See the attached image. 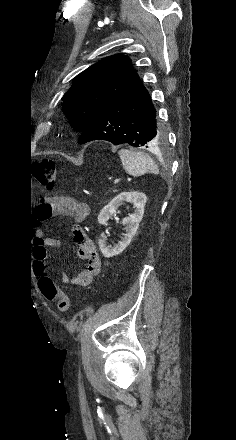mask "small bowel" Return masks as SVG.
I'll return each mask as SVG.
<instances>
[{
  "instance_id": "small-bowel-1",
  "label": "small bowel",
  "mask_w": 236,
  "mask_h": 440,
  "mask_svg": "<svg viewBox=\"0 0 236 440\" xmlns=\"http://www.w3.org/2000/svg\"><path fill=\"white\" fill-rule=\"evenodd\" d=\"M69 214L76 223L82 222L89 214L87 204L78 202L67 196H55L50 199H40L36 208V221H44L53 216ZM73 241L77 248V254L85 260V269L74 277H70L66 272H62L61 280L66 285L88 286L99 274L101 268V259L96 250L94 242L87 236L86 232L79 226L72 228ZM36 240L45 242L48 247H59L60 242L55 238L43 237V234L37 232ZM34 274L38 279V286L41 280L45 279V254L40 249L35 253Z\"/></svg>"
}]
</instances>
